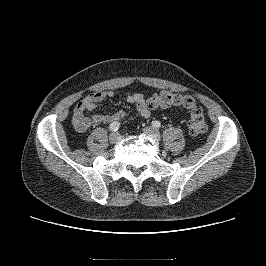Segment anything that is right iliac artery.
<instances>
[{"instance_id":"1","label":"right iliac artery","mask_w":266,"mask_h":266,"mask_svg":"<svg viewBox=\"0 0 266 266\" xmlns=\"http://www.w3.org/2000/svg\"><path fill=\"white\" fill-rule=\"evenodd\" d=\"M119 127H120V123L113 122V123L110 124L109 129L111 131H114L115 132V131H117L119 129Z\"/></svg>"}]
</instances>
